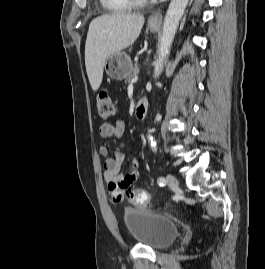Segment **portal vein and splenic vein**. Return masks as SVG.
Listing matches in <instances>:
<instances>
[{
	"label": "portal vein and splenic vein",
	"mask_w": 265,
	"mask_h": 269,
	"mask_svg": "<svg viewBox=\"0 0 265 269\" xmlns=\"http://www.w3.org/2000/svg\"><path fill=\"white\" fill-rule=\"evenodd\" d=\"M137 80H138V77L136 76L131 80V83L133 84V83L137 82Z\"/></svg>",
	"instance_id": "portal-vein-and-splenic-vein-1"
}]
</instances>
